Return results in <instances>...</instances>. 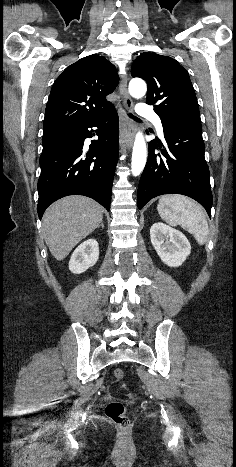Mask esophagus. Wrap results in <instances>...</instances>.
Listing matches in <instances>:
<instances>
[{
  "mask_svg": "<svg viewBox=\"0 0 236 467\" xmlns=\"http://www.w3.org/2000/svg\"><path fill=\"white\" fill-rule=\"evenodd\" d=\"M127 80H128L127 75H122L121 81H120V92L123 98L126 111L131 113L133 111L134 104L127 90ZM134 133H135V124L128 117V115L124 113L123 114V129L121 132V139H120V145L122 148L124 147L131 148L132 143H133Z\"/></svg>",
  "mask_w": 236,
  "mask_h": 467,
  "instance_id": "obj_1",
  "label": "esophagus"
}]
</instances>
